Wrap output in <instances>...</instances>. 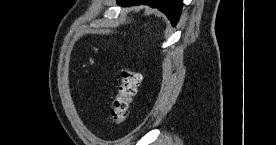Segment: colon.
Listing matches in <instances>:
<instances>
[{
	"mask_svg": "<svg viewBox=\"0 0 276 145\" xmlns=\"http://www.w3.org/2000/svg\"><path fill=\"white\" fill-rule=\"evenodd\" d=\"M140 74L131 69L120 71V82L110 109L109 122L120 125L128 117L130 104L137 93Z\"/></svg>",
	"mask_w": 276,
	"mask_h": 145,
	"instance_id": "colon-1",
	"label": "colon"
}]
</instances>
